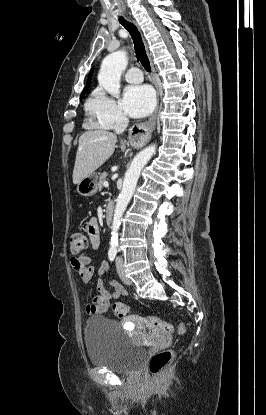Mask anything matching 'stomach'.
<instances>
[{"label":"stomach","instance_id":"0dacf381","mask_svg":"<svg viewBox=\"0 0 266 415\" xmlns=\"http://www.w3.org/2000/svg\"><path fill=\"white\" fill-rule=\"evenodd\" d=\"M98 176L92 173L77 184V192L84 197L93 196L97 192Z\"/></svg>","mask_w":266,"mask_h":415}]
</instances>
